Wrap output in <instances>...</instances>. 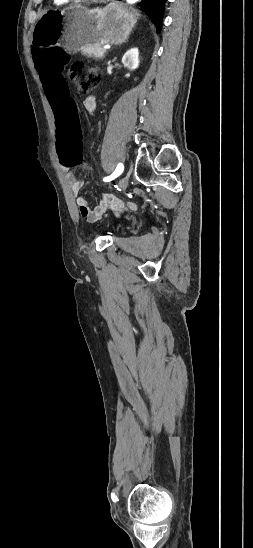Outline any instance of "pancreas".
<instances>
[{"label": "pancreas", "mask_w": 253, "mask_h": 548, "mask_svg": "<svg viewBox=\"0 0 253 548\" xmlns=\"http://www.w3.org/2000/svg\"><path fill=\"white\" fill-rule=\"evenodd\" d=\"M105 52L106 50L100 46H86L82 48L83 55L96 59H103Z\"/></svg>", "instance_id": "obj_1"}]
</instances>
